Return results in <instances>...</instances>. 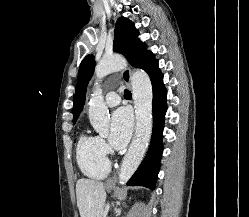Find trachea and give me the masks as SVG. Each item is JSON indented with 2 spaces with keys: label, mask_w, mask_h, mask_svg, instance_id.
Instances as JSON below:
<instances>
[{
  "label": "trachea",
  "mask_w": 249,
  "mask_h": 217,
  "mask_svg": "<svg viewBox=\"0 0 249 217\" xmlns=\"http://www.w3.org/2000/svg\"><path fill=\"white\" fill-rule=\"evenodd\" d=\"M132 95H131V92L129 91V90H125L124 91V97H131Z\"/></svg>",
  "instance_id": "3493384b"
}]
</instances>
